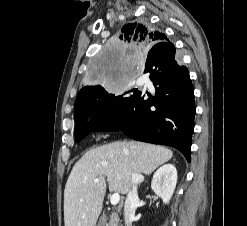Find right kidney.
Masks as SVG:
<instances>
[{
	"instance_id": "obj_1",
	"label": "right kidney",
	"mask_w": 247,
	"mask_h": 226,
	"mask_svg": "<svg viewBox=\"0 0 247 226\" xmlns=\"http://www.w3.org/2000/svg\"><path fill=\"white\" fill-rule=\"evenodd\" d=\"M177 170L172 164H165L153 175L151 188L162 200L168 204L176 187Z\"/></svg>"
}]
</instances>
